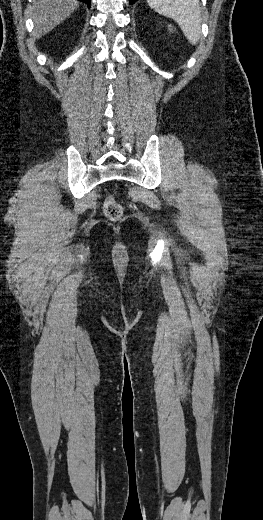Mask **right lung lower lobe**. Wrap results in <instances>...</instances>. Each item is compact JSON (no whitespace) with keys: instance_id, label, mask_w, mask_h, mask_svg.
Here are the masks:
<instances>
[{"instance_id":"right-lung-lower-lobe-1","label":"right lung lower lobe","mask_w":263,"mask_h":520,"mask_svg":"<svg viewBox=\"0 0 263 520\" xmlns=\"http://www.w3.org/2000/svg\"><path fill=\"white\" fill-rule=\"evenodd\" d=\"M79 1L85 2L88 5V7H90L91 0H79Z\"/></svg>"}]
</instances>
